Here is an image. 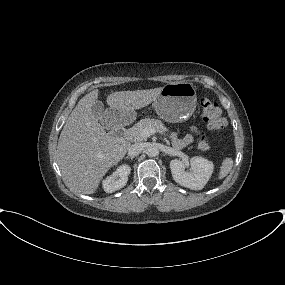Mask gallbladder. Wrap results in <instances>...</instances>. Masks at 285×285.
Wrapping results in <instances>:
<instances>
[{"mask_svg": "<svg viewBox=\"0 0 285 285\" xmlns=\"http://www.w3.org/2000/svg\"><path fill=\"white\" fill-rule=\"evenodd\" d=\"M91 109H92V112L95 118L100 120L103 123V118L105 115L104 104L101 101H96L91 106Z\"/></svg>", "mask_w": 285, "mask_h": 285, "instance_id": "gallbladder-1", "label": "gallbladder"}]
</instances>
